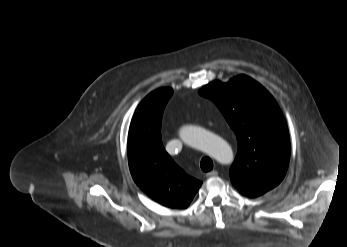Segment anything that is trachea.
Here are the masks:
<instances>
[{
    "mask_svg": "<svg viewBox=\"0 0 347 247\" xmlns=\"http://www.w3.org/2000/svg\"><path fill=\"white\" fill-rule=\"evenodd\" d=\"M200 167L204 172H209L213 169V162L209 157H203L200 162Z\"/></svg>",
    "mask_w": 347,
    "mask_h": 247,
    "instance_id": "3493384b",
    "label": "trachea"
}]
</instances>
